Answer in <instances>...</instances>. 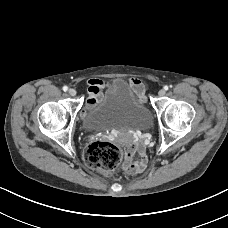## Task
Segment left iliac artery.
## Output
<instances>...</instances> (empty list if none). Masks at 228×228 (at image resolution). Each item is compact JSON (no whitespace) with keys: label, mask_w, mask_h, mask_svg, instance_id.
<instances>
[{"label":"left iliac artery","mask_w":228,"mask_h":228,"mask_svg":"<svg viewBox=\"0 0 228 228\" xmlns=\"http://www.w3.org/2000/svg\"><path fill=\"white\" fill-rule=\"evenodd\" d=\"M164 89H165V90H168V89H169V87L166 85V86H164Z\"/></svg>","instance_id":"obj_1"}]
</instances>
